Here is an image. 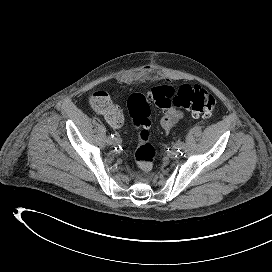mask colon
Instances as JSON below:
<instances>
[{
    "label": "colon",
    "instance_id": "5ec220e1",
    "mask_svg": "<svg viewBox=\"0 0 272 272\" xmlns=\"http://www.w3.org/2000/svg\"><path fill=\"white\" fill-rule=\"evenodd\" d=\"M93 107L104 109L108 100L105 94L96 93L91 99ZM169 109L172 106L192 111L196 117H211L216 110V99L198 85H182L174 89L169 85L154 87L146 94L134 93L127 100V109L133 125L138 130V146L134 151L137 167L150 171L157 157V149L150 143V105Z\"/></svg>",
    "mask_w": 272,
    "mask_h": 272
}]
</instances>
